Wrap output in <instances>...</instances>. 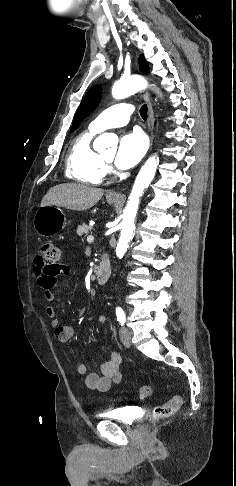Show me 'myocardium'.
Masks as SVG:
<instances>
[{
	"label": "myocardium",
	"mask_w": 236,
	"mask_h": 486,
	"mask_svg": "<svg viewBox=\"0 0 236 486\" xmlns=\"http://www.w3.org/2000/svg\"><path fill=\"white\" fill-rule=\"evenodd\" d=\"M101 159H102V161H103L104 165H106V164H108V163L110 162L109 160H106L105 158H102V157H101Z\"/></svg>",
	"instance_id": "f54148a6"
}]
</instances>
